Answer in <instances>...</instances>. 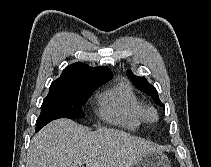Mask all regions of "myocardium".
<instances>
[{
	"mask_svg": "<svg viewBox=\"0 0 211 167\" xmlns=\"http://www.w3.org/2000/svg\"><path fill=\"white\" fill-rule=\"evenodd\" d=\"M145 118L149 121H155L158 118V113L156 109L149 106L145 109Z\"/></svg>",
	"mask_w": 211,
	"mask_h": 167,
	"instance_id": "1",
	"label": "myocardium"
}]
</instances>
